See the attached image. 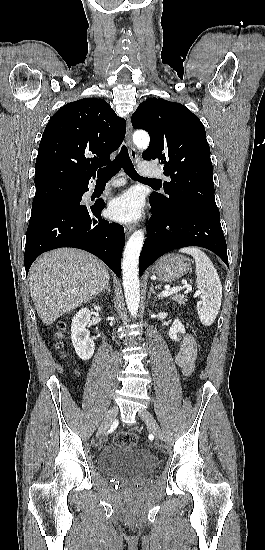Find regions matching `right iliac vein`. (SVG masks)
Returning a JSON list of instances; mask_svg holds the SVG:
<instances>
[{"instance_id":"obj_1","label":"right iliac vein","mask_w":265,"mask_h":550,"mask_svg":"<svg viewBox=\"0 0 265 550\" xmlns=\"http://www.w3.org/2000/svg\"><path fill=\"white\" fill-rule=\"evenodd\" d=\"M117 413H118V407L117 406H113L112 408L109 409V411L107 412L103 422L101 423V425L98 429V432H97L98 435L103 433L105 430H107L111 426V424L114 421Z\"/></svg>"}]
</instances>
